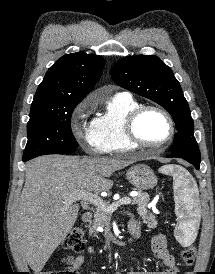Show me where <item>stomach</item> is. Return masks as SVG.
<instances>
[{
    "instance_id": "1",
    "label": "stomach",
    "mask_w": 215,
    "mask_h": 274,
    "mask_svg": "<svg viewBox=\"0 0 215 274\" xmlns=\"http://www.w3.org/2000/svg\"><path fill=\"white\" fill-rule=\"evenodd\" d=\"M127 180L138 190H149L157 185L153 170L145 164L131 166L126 173Z\"/></svg>"
}]
</instances>
